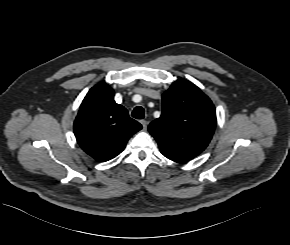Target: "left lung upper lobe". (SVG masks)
Returning a JSON list of instances; mask_svg holds the SVG:
<instances>
[{"label":"left lung upper lobe","instance_id":"left-lung-upper-lobe-1","mask_svg":"<svg viewBox=\"0 0 290 245\" xmlns=\"http://www.w3.org/2000/svg\"><path fill=\"white\" fill-rule=\"evenodd\" d=\"M216 126L211 100L193 83L178 79L162 96V115L148 127L168 159L184 163L209 144Z\"/></svg>","mask_w":290,"mask_h":245}]
</instances>
